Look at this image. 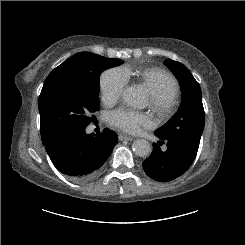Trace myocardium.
Instances as JSON below:
<instances>
[{
  "instance_id": "1",
  "label": "myocardium",
  "mask_w": 245,
  "mask_h": 245,
  "mask_svg": "<svg viewBox=\"0 0 245 245\" xmlns=\"http://www.w3.org/2000/svg\"><path fill=\"white\" fill-rule=\"evenodd\" d=\"M176 96L170 89H162L151 93L150 107L159 116L166 117L174 109Z\"/></svg>"
}]
</instances>
